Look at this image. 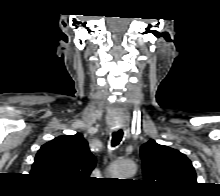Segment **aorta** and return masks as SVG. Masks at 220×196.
Masks as SVG:
<instances>
[{"instance_id": "aorta-1", "label": "aorta", "mask_w": 220, "mask_h": 196, "mask_svg": "<svg viewBox=\"0 0 220 196\" xmlns=\"http://www.w3.org/2000/svg\"><path fill=\"white\" fill-rule=\"evenodd\" d=\"M111 170L113 175L119 179H127L135 174L136 165L131 160H118L113 163Z\"/></svg>"}]
</instances>
